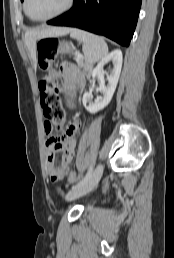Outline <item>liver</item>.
<instances>
[{"mask_svg": "<svg viewBox=\"0 0 174 258\" xmlns=\"http://www.w3.org/2000/svg\"><path fill=\"white\" fill-rule=\"evenodd\" d=\"M70 31L69 28L47 27L40 30H31L25 33V44L33 60H36V40L45 37L65 35Z\"/></svg>", "mask_w": 174, "mask_h": 258, "instance_id": "liver-1", "label": "liver"}]
</instances>
